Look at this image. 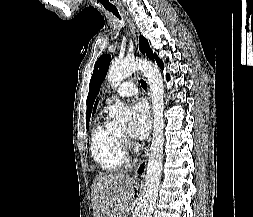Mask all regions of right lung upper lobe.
<instances>
[{"mask_svg":"<svg viewBox=\"0 0 253 217\" xmlns=\"http://www.w3.org/2000/svg\"><path fill=\"white\" fill-rule=\"evenodd\" d=\"M97 103H98V100H97V101H96V103H95V108H94V112H95V109H96Z\"/></svg>","mask_w":253,"mask_h":217,"instance_id":"cb5924a9","label":"right lung upper lobe"}]
</instances>
